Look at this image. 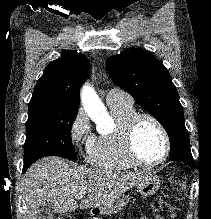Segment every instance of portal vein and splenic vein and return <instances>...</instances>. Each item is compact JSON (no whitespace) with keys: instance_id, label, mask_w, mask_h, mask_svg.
<instances>
[{"instance_id":"18ae733b","label":"portal vein and splenic vein","mask_w":211,"mask_h":219,"mask_svg":"<svg viewBox=\"0 0 211 219\" xmlns=\"http://www.w3.org/2000/svg\"><path fill=\"white\" fill-rule=\"evenodd\" d=\"M83 197H84V194H82V193H78V194L75 195L76 199H81Z\"/></svg>"}]
</instances>
